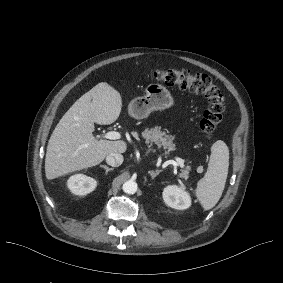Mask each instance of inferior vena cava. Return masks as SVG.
Instances as JSON below:
<instances>
[{
	"instance_id": "obj_1",
	"label": "inferior vena cava",
	"mask_w": 283,
	"mask_h": 283,
	"mask_svg": "<svg viewBox=\"0 0 283 283\" xmlns=\"http://www.w3.org/2000/svg\"><path fill=\"white\" fill-rule=\"evenodd\" d=\"M107 164L118 167L123 163V156L119 153H112L106 157Z\"/></svg>"
}]
</instances>
